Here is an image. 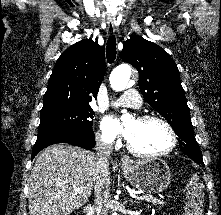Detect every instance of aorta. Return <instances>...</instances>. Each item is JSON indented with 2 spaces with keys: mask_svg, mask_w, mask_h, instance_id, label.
Returning a JSON list of instances; mask_svg holds the SVG:
<instances>
[{
  "mask_svg": "<svg viewBox=\"0 0 221 215\" xmlns=\"http://www.w3.org/2000/svg\"><path fill=\"white\" fill-rule=\"evenodd\" d=\"M131 72L132 70L129 65H120L116 67L109 78L111 87L116 91L124 90L128 86ZM113 215L117 214L114 213Z\"/></svg>",
  "mask_w": 221,
  "mask_h": 215,
  "instance_id": "obj_1",
  "label": "aorta"
}]
</instances>
